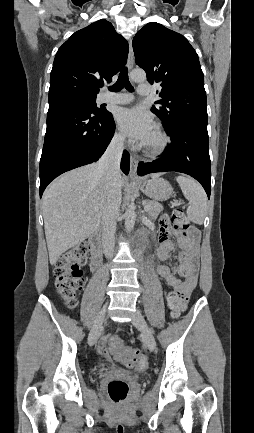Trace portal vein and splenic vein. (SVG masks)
<instances>
[{
  "instance_id": "18ae733b",
  "label": "portal vein and splenic vein",
  "mask_w": 254,
  "mask_h": 433,
  "mask_svg": "<svg viewBox=\"0 0 254 433\" xmlns=\"http://www.w3.org/2000/svg\"><path fill=\"white\" fill-rule=\"evenodd\" d=\"M149 210V205L146 204L145 211L147 212Z\"/></svg>"
}]
</instances>
